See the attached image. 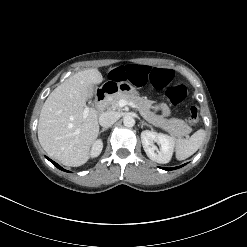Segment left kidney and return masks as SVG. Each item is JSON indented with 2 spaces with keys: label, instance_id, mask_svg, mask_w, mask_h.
Masks as SVG:
<instances>
[{
  "label": "left kidney",
  "instance_id": "left-kidney-1",
  "mask_svg": "<svg viewBox=\"0 0 247 247\" xmlns=\"http://www.w3.org/2000/svg\"><path fill=\"white\" fill-rule=\"evenodd\" d=\"M141 142L144 151L152 161L166 164L171 160L175 146L173 137L167 134L145 130L141 133ZM154 143L159 145V150Z\"/></svg>",
  "mask_w": 247,
  "mask_h": 247
}]
</instances>
